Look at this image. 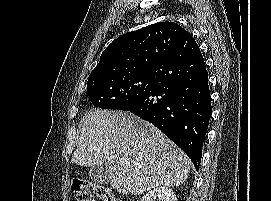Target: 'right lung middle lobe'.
Wrapping results in <instances>:
<instances>
[{"mask_svg": "<svg viewBox=\"0 0 271 201\" xmlns=\"http://www.w3.org/2000/svg\"><path fill=\"white\" fill-rule=\"evenodd\" d=\"M153 72H125L88 78L87 94L96 107L119 110L123 104L148 89Z\"/></svg>", "mask_w": 271, "mask_h": 201, "instance_id": "obj_1", "label": "right lung middle lobe"}]
</instances>
